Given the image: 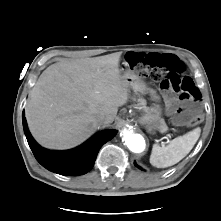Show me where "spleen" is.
I'll use <instances>...</instances> for the list:
<instances>
[{
	"label": "spleen",
	"instance_id": "obj_1",
	"mask_svg": "<svg viewBox=\"0 0 221 221\" xmlns=\"http://www.w3.org/2000/svg\"><path fill=\"white\" fill-rule=\"evenodd\" d=\"M199 127L170 141L166 146L154 144L150 155L151 165L166 168L181 161L194 147L199 139Z\"/></svg>",
	"mask_w": 221,
	"mask_h": 221
}]
</instances>
